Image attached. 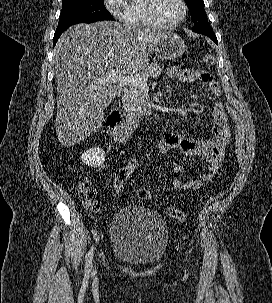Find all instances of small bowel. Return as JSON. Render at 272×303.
Segmentation results:
<instances>
[{"instance_id": "c3829d8e", "label": "small bowel", "mask_w": 272, "mask_h": 303, "mask_svg": "<svg viewBox=\"0 0 272 303\" xmlns=\"http://www.w3.org/2000/svg\"><path fill=\"white\" fill-rule=\"evenodd\" d=\"M166 75L170 79L179 80L183 83L204 82L208 84L210 93L214 99L222 95L220 85L207 72L180 70L171 67L167 69ZM211 116V130L208 137L194 139L170 132L157 145V150L161 155L178 152L186 157L199 158L206 164L205 170L198 172L192 177H188L186 176V169L183 164L178 162L173 163L172 186L175 190H198L206 182L212 180L220 170L231 135L227 110L222 102L215 103Z\"/></svg>"}]
</instances>
